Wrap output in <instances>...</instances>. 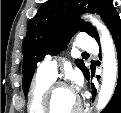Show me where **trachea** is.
I'll list each match as a JSON object with an SVG mask.
<instances>
[{
  "label": "trachea",
  "instance_id": "3493384b",
  "mask_svg": "<svg viewBox=\"0 0 121 113\" xmlns=\"http://www.w3.org/2000/svg\"><path fill=\"white\" fill-rule=\"evenodd\" d=\"M83 54H84V55H88V53H86V52H83Z\"/></svg>",
  "mask_w": 121,
  "mask_h": 113
}]
</instances>
